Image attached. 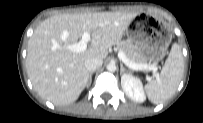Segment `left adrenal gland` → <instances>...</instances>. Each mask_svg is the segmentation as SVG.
Wrapping results in <instances>:
<instances>
[{
	"label": "left adrenal gland",
	"instance_id": "left-adrenal-gland-1",
	"mask_svg": "<svg viewBox=\"0 0 203 123\" xmlns=\"http://www.w3.org/2000/svg\"><path fill=\"white\" fill-rule=\"evenodd\" d=\"M125 71H126V69H125V67L123 66V63L121 62V63H120V75H122L123 72H125Z\"/></svg>",
	"mask_w": 203,
	"mask_h": 123
}]
</instances>
